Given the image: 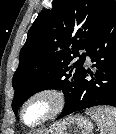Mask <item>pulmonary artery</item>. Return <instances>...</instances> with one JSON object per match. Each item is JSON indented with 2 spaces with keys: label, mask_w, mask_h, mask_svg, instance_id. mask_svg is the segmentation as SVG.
I'll return each mask as SVG.
<instances>
[{
  "label": "pulmonary artery",
  "mask_w": 116,
  "mask_h": 134,
  "mask_svg": "<svg viewBox=\"0 0 116 134\" xmlns=\"http://www.w3.org/2000/svg\"><path fill=\"white\" fill-rule=\"evenodd\" d=\"M85 59H86L87 62H90V56L86 55Z\"/></svg>",
  "instance_id": "obj_1"
}]
</instances>
